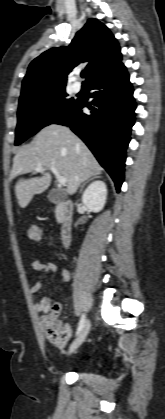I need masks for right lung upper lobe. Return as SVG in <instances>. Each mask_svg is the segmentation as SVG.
Instances as JSON below:
<instances>
[{
    "label": "right lung upper lobe",
    "instance_id": "1",
    "mask_svg": "<svg viewBox=\"0 0 165 419\" xmlns=\"http://www.w3.org/2000/svg\"><path fill=\"white\" fill-rule=\"evenodd\" d=\"M83 62H89L85 68L88 83L122 64L116 39L97 19H89L68 47L52 48L30 63L19 102L40 93L65 88L67 74Z\"/></svg>",
    "mask_w": 165,
    "mask_h": 419
}]
</instances>
